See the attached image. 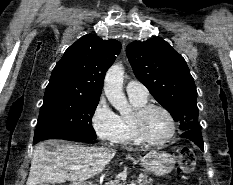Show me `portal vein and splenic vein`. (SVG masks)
<instances>
[{"label": "portal vein and splenic vein", "mask_w": 233, "mask_h": 185, "mask_svg": "<svg viewBox=\"0 0 233 185\" xmlns=\"http://www.w3.org/2000/svg\"><path fill=\"white\" fill-rule=\"evenodd\" d=\"M70 168L73 169V170H79V169L82 168V166L81 165H73ZM129 185H136V184L135 183H131Z\"/></svg>", "instance_id": "1"}]
</instances>
